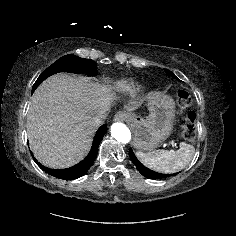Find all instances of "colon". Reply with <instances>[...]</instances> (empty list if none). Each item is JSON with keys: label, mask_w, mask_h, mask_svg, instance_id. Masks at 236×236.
Masks as SVG:
<instances>
[{"label": "colon", "mask_w": 236, "mask_h": 236, "mask_svg": "<svg viewBox=\"0 0 236 236\" xmlns=\"http://www.w3.org/2000/svg\"><path fill=\"white\" fill-rule=\"evenodd\" d=\"M178 106L182 111L189 109L192 106V98L190 93L181 89L177 96ZM195 121L196 115L193 111H189L181 116L180 128L183 138L190 142H195L196 132H195Z\"/></svg>", "instance_id": "obj_1"}]
</instances>
